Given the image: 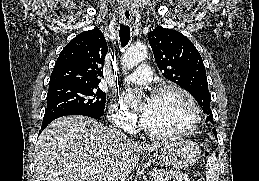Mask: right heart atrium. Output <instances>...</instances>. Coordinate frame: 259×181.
Masks as SVG:
<instances>
[{"label": "right heart atrium", "instance_id": "obj_1", "mask_svg": "<svg viewBox=\"0 0 259 181\" xmlns=\"http://www.w3.org/2000/svg\"><path fill=\"white\" fill-rule=\"evenodd\" d=\"M112 123L125 131L133 132L137 126V117L120 103L113 101L109 107Z\"/></svg>", "mask_w": 259, "mask_h": 181}]
</instances>
